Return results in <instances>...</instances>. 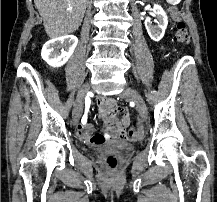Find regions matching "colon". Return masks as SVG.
<instances>
[{
  "instance_id": "obj_1",
  "label": "colon",
  "mask_w": 217,
  "mask_h": 202,
  "mask_svg": "<svg viewBox=\"0 0 217 202\" xmlns=\"http://www.w3.org/2000/svg\"><path fill=\"white\" fill-rule=\"evenodd\" d=\"M175 20V29H174V38L179 43H187L189 41V34L187 31V27L184 21H182L177 16L174 17ZM131 134L133 135L138 131L137 127H131ZM118 163V158L116 155L110 154L106 157V165L109 168H115Z\"/></svg>"
}]
</instances>
